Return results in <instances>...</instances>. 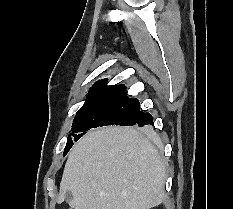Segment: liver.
<instances>
[{
	"mask_svg": "<svg viewBox=\"0 0 233 209\" xmlns=\"http://www.w3.org/2000/svg\"><path fill=\"white\" fill-rule=\"evenodd\" d=\"M166 169L148 138L133 128L105 127L71 149L57 203L71 209H151L165 198Z\"/></svg>",
	"mask_w": 233,
	"mask_h": 209,
	"instance_id": "obj_1",
	"label": "liver"
}]
</instances>
